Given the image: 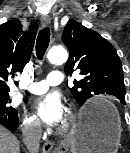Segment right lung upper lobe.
I'll list each match as a JSON object with an SVG mask.
<instances>
[{
	"label": "right lung upper lobe",
	"instance_id": "obj_1",
	"mask_svg": "<svg viewBox=\"0 0 130 153\" xmlns=\"http://www.w3.org/2000/svg\"><path fill=\"white\" fill-rule=\"evenodd\" d=\"M38 25L30 24L29 31H23L18 20L0 25V92L8 91V76L22 72L29 62Z\"/></svg>",
	"mask_w": 130,
	"mask_h": 153
}]
</instances>
